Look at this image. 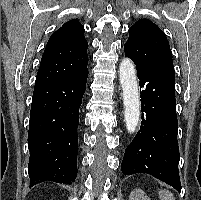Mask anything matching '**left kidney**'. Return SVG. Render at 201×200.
<instances>
[{
  "mask_svg": "<svg viewBox=\"0 0 201 200\" xmlns=\"http://www.w3.org/2000/svg\"><path fill=\"white\" fill-rule=\"evenodd\" d=\"M129 200H151L141 189H134L129 196Z\"/></svg>",
  "mask_w": 201,
  "mask_h": 200,
  "instance_id": "5707ae66",
  "label": "left kidney"
}]
</instances>
